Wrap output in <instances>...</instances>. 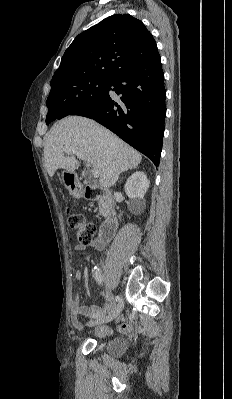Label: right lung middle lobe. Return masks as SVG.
I'll return each mask as SVG.
<instances>
[{
    "instance_id": "obj_1",
    "label": "right lung middle lobe",
    "mask_w": 232,
    "mask_h": 399,
    "mask_svg": "<svg viewBox=\"0 0 232 399\" xmlns=\"http://www.w3.org/2000/svg\"><path fill=\"white\" fill-rule=\"evenodd\" d=\"M109 83L110 79L92 80L80 83L66 92L49 95L46 102L48 107L46 124L63 113H70L82 106L98 103L106 95Z\"/></svg>"
}]
</instances>
